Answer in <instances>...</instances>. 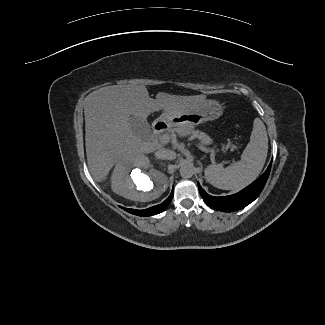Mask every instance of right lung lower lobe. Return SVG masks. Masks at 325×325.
<instances>
[{
  "label": "right lung lower lobe",
  "mask_w": 325,
  "mask_h": 325,
  "mask_svg": "<svg viewBox=\"0 0 325 325\" xmlns=\"http://www.w3.org/2000/svg\"><path fill=\"white\" fill-rule=\"evenodd\" d=\"M173 193H174V188H173L170 196L164 202H162L161 204H158L156 206L147 208L145 210H135V209H129V208H123V209L131 214L138 215V216L146 217V216L156 215L166 209V207L169 205V203L171 202V200L173 198Z\"/></svg>",
  "instance_id": "98d812e1"
}]
</instances>
